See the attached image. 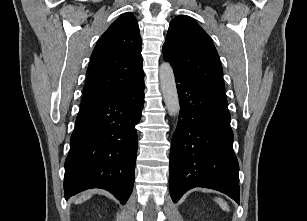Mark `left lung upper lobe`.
<instances>
[{
	"instance_id": "obj_1",
	"label": "left lung upper lobe",
	"mask_w": 307,
	"mask_h": 221,
	"mask_svg": "<svg viewBox=\"0 0 307 221\" xmlns=\"http://www.w3.org/2000/svg\"><path fill=\"white\" fill-rule=\"evenodd\" d=\"M163 57L199 88L227 102L222 66L208 34L189 16L171 20Z\"/></svg>"
}]
</instances>
